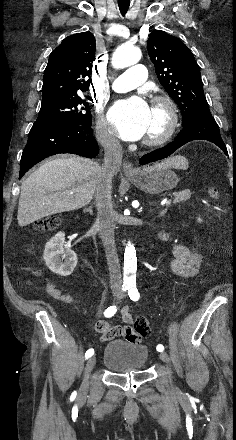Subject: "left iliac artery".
<instances>
[{"label":"left iliac artery","mask_w":236,"mask_h":440,"mask_svg":"<svg viewBox=\"0 0 236 440\" xmlns=\"http://www.w3.org/2000/svg\"><path fill=\"white\" fill-rule=\"evenodd\" d=\"M128 295L132 301H138V299L140 298V294L136 285H130L128 287ZM156 349L157 351L162 352L164 350V346L159 344Z\"/></svg>","instance_id":"44dca946"}]
</instances>
